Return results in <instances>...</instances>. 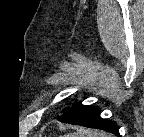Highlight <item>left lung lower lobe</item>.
<instances>
[{
	"mask_svg": "<svg viewBox=\"0 0 144 137\" xmlns=\"http://www.w3.org/2000/svg\"><path fill=\"white\" fill-rule=\"evenodd\" d=\"M58 120L64 123L97 128L120 136L117 125L100 117V110L94 106L82 105L80 102L62 111Z\"/></svg>",
	"mask_w": 144,
	"mask_h": 137,
	"instance_id": "0a47b994",
	"label": "left lung lower lobe"
}]
</instances>
